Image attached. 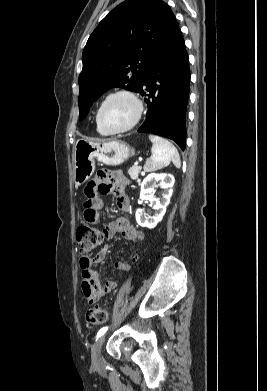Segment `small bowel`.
I'll return each instance as SVG.
<instances>
[{"instance_id":"c3829d8e","label":"small bowel","mask_w":267,"mask_h":391,"mask_svg":"<svg viewBox=\"0 0 267 391\" xmlns=\"http://www.w3.org/2000/svg\"><path fill=\"white\" fill-rule=\"evenodd\" d=\"M127 180L119 171L101 170L96 177L85 187L86 200L84 202L83 218L86 224L95 225L101 219V210L104 207L101 195L114 194L116 204L120 211L130 210V200L125 193ZM103 236L111 239L119 233L130 243L137 244L144 239L142 231L136 229L125 217H118L108 223L103 229ZM108 254V247H103L96 255L90 259H80L79 265L82 271V291L86 300L92 304L104 295L116 289L117 283L114 281H103L98 271L93 267L105 260ZM138 256L134 257V261ZM118 271H128L130 266L124 259H120L114 264Z\"/></svg>"}]
</instances>
